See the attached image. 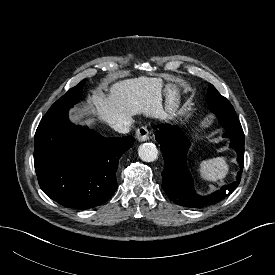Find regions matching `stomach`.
<instances>
[{
	"label": "stomach",
	"mask_w": 275,
	"mask_h": 275,
	"mask_svg": "<svg viewBox=\"0 0 275 275\" xmlns=\"http://www.w3.org/2000/svg\"><path fill=\"white\" fill-rule=\"evenodd\" d=\"M166 104L165 110L169 117H173L179 106V95L177 87L174 84L168 83L165 88Z\"/></svg>",
	"instance_id": "stomach-1"
}]
</instances>
